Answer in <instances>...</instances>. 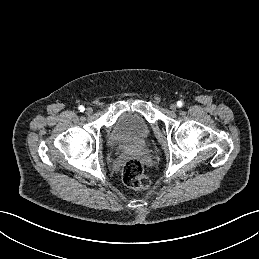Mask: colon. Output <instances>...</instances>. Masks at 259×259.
<instances>
[{"mask_svg": "<svg viewBox=\"0 0 259 259\" xmlns=\"http://www.w3.org/2000/svg\"><path fill=\"white\" fill-rule=\"evenodd\" d=\"M122 179L126 186L135 190H146L151 181L144 173V167L140 160L131 158L126 161L122 169Z\"/></svg>", "mask_w": 259, "mask_h": 259, "instance_id": "5ec220e1", "label": "colon"}]
</instances>
